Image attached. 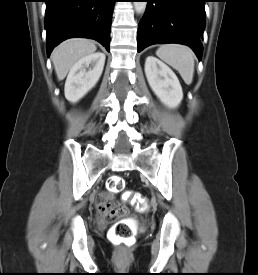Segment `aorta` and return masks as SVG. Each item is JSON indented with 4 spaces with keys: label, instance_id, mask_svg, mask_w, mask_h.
Segmentation results:
<instances>
[{
    "label": "aorta",
    "instance_id": "obj_1",
    "mask_svg": "<svg viewBox=\"0 0 258 275\" xmlns=\"http://www.w3.org/2000/svg\"><path fill=\"white\" fill-rule=\"evenodd\" d=\"M146 2H134V8L136 13L141 14L144 13L145 9H146Z\"/></svg>",
    "mask_w": 258,
    "mask_h": 275
}]
</instances>
